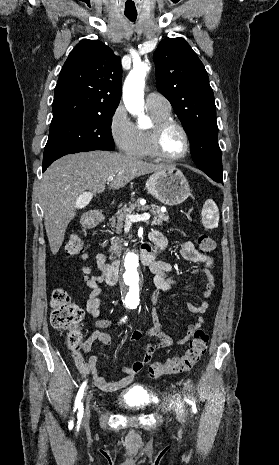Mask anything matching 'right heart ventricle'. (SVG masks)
Listing matches in <instances>:
<instances>
[{
  "instance_id": "1",
  "label": "right heart ventricle",
  "mask_w": 279,
  "mask_h": 465,
  "mask_svg": "<svg viewBox=\"0 0 279 465\" xmlns=\"http://www.w3.org/2000/svg\"><path fill=\"white\" fill-rule=\"evenodd\" d=\"M148 111L153 123L162 119L170 118V111H162L154 108H148ZM127 153L137 158L153 157L149 147V129L135 126L134 140Z\"/></svg>"
}]
</instances>
